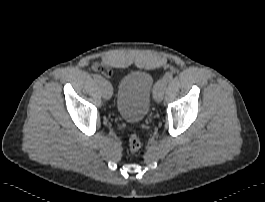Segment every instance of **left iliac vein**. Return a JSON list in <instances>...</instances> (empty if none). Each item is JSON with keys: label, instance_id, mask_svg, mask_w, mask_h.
<instances>
[{"label": "left iliac vein", "instance_id": "obj_1", "mask_svg": "<svg viewBox=\"0 0 265 202\" xmlns=\"http://www.w3.org/2000/svg\"><path fill=\"white\" fill-rule=\"evenodd\" d=\"M167 81L163 78L161 80L158 81V84L156 85L155 89H154V94L153 97L155 99L156 102H161L164 96V92L166 90L167 87Z\"/></svg>", "mask_w": 265, "mask_h": 202}]
</instances>
